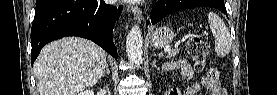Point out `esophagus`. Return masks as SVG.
<instances>
[{
  "instance_id": "obj_1",
  "label": "esophagus",
  "mask_w": 277,
  "mask_h": 95,
  "mask_svg": "<svg viewBox=\"0 0 277 95\" xmlns=\"http://www.w3.org/2000/svg\"><path fill=\"white\" fill-rule=\"evenodd\" d=\"M128 9L133 13L135 20L140 23L142 21V12L138 7L128 6Z\"/></svg>"
}]
</instances>
